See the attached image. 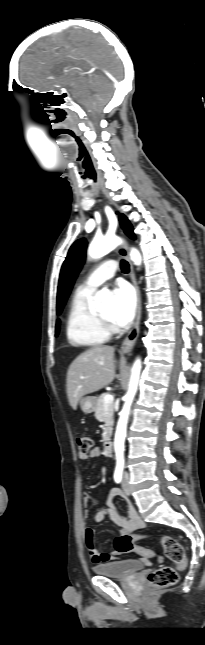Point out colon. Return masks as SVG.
I'll list each match as a JSON object with an SVG mask.
<instances>
[{"instance_id": "colon-1", "label": "colon", "mask_w": 205, "mask_h": 645, "mask_svg": "<svg viewBox=\"0 0 205 645\" xmlns=\"http://www.w3.org/2000/svg\"><path fill=\"white\" fill-rule=\"evenodd\" d=\"M77 446L80 453H88L93 442L91 438L85 435L77 437ZM147 534L120 535L114 540V549L119 554L136 553L145 558L154 556L150 549L137 545L136 540L148 537ZM160 540L164 549L165 556L171 560L176 568L162 566L148 575V584L152 588H165L175 585L179 580L178 570L186 567L185 551L181 543L168 535H161Z\"/></svg>"}]
</instances>
